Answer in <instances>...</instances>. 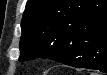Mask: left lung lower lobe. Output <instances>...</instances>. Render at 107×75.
<instances>
[{
  "instance_id": "0a47b994",
  "label": "left lung lower lobe",
  "mask_w": 107,
  "mask_h": 75,
  "mask_svg": "<svg viewBox=\"0 0 107 75\" xmlns=\"http://www.w3.org/2000/svg\"><path fill=\"white\" fill-rule=\"evenodd\" d=\"M94 1L96 7L79 20L71 46L52 50L50 55L69 66L107 73V0Z\"/></svg>"
}]
</instances>
